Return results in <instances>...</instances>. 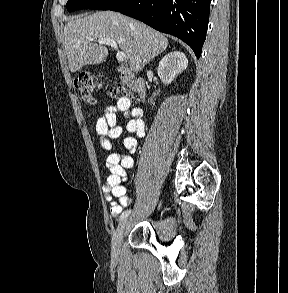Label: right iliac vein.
<instances>
[{
  "instance_id": "63e3f726",
  "label": "right iliac vein",
  "mask_w": 288,
  "mask_h": 293,
  "mask_svg": "<svg viewBox=\"0 0 288 293\" xmlns=\"http://www.w3.org/2000/svg\"><path fill=\"white\" fill-rule=\"evenodd\" d=\"M128 220L127 218L123 219L121 223L118 225L113 238H112V256L113 258H117L120 252L121 243L124 231L126 229Z\"/></svg>"
}]
</instances>
